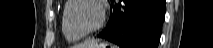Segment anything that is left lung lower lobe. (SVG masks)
Instances as JSON below:
<instances>
[{"label": "left lung lower lobe", "instance_id": "0a47b994", "mask_svg": "<svg viewBox=\"0 0 213 48\" xmlns=\"http://www.w3.org/2000/svg\"><path fill=\"white\" fill-rule=\"evenodd\" d=\"M164 15L165 0H119L97 37L120 48H157Z\"/></svg>", "mask_w": 213, "mask_h": 48}]
</instances>
